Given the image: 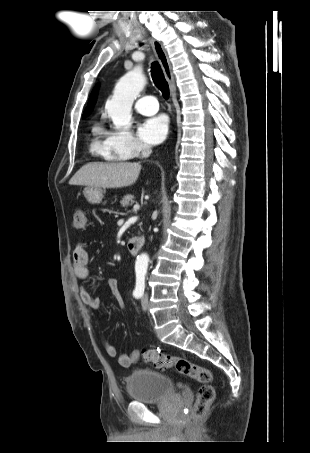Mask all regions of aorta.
<instances>
[{"mask_svg": "<svg viewBox=\"0 0 310 453\" xmlns=\"http://www.w3.org/2000/svg\"><path fill=\"white\" fill-rule=\"evenodd\" d=\"M145 84L146 78L138 67L126 73L117 82L113 96L106 102L105 106L108 116L117 129L130 124L133 102ZM148 262L149 257L146 254H141L136 260L135 267L139 270H145Z\"/></svg>", "mask_w": 310, "mask_h": 453, "instance_id": "obj_1", "label": "aorta"}]
</instances>
